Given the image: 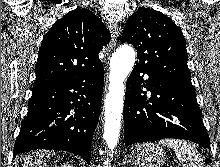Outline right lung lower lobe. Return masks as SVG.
<instances>
[{"instance_id":"98d812e1","label":"right lung lower lobe","mask_w":220,"mask_h":167,"mask_svg":"<svg viewBox=\"0 0 220 167\" xmlns=\"http://www.w3.org/2000/svg\"><path fill=\"white\" fill-rule=\"evenodd\" d=\"M103 85L100 66L58 85L33 90L14 157L35 149H55L77 154L90 164Z\"/></svg>"}]
</instances>
